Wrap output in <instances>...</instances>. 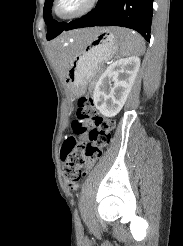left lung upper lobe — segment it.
<instances>
[{
  "label": "left lung upper lobe",
  "instance_id": "1",
  "mask_svg": "<svg viewBox=\"0 0 183 246\" xmlns=\"http://www.w3.org/2000/svg\"><path fill=\"white\" fill-rule=\"evenodd\" d=\"M54 0H45L44 5V20L48 26L47 29V40H51L63 32L64 28L67 26V23L57 22L51 17V7Z\"/></svg>",
  "mask_w": 183,
  "mask_h": 246
}]
</instances>
